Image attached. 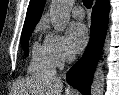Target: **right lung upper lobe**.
I'll list each match as a JSON object with an SVG mask.
<instances>
[{"mask_svg": "<svg viewBox=\"0 0 119 95\" xmlns=\"http://www.w3.org/2000/svg\"><path fill=\"white\" fill-rule=\"evenodd\" d=\"M102 1L104 0H98L97 2ZM44 3L45 0H30L22 33L33 30L35 28L37 22L41 17Z\"/></svg>", "mask_w": 119, "mask_h": 95, "instance_id": "obj_1", "label": "right lung upper lobe"}]
</instances>
